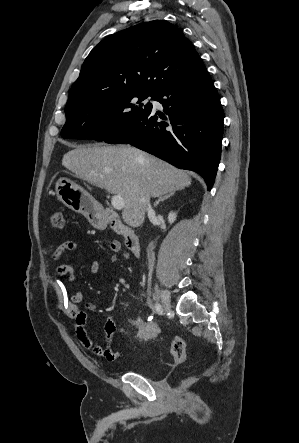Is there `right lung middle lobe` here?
<instances>
[{"label": "right lung middle lobe", "instance_id": "right-lung-middle-lobe-1", "mask_svg": "<svg viewBox=\"0 0 299 443\" xmlns=\"http://www.w3.org/2000/svg\"><path fill=\"white\" fill-rule=\"evenodd\" d=\"M153 93L140 91L110 93L76 101L65 107L66 123L63 138L105 141L121 131L131 120L152 109L144 104Z\"/></svg>", "mask_w": 299, "mask_h": 443}]
</instances>
